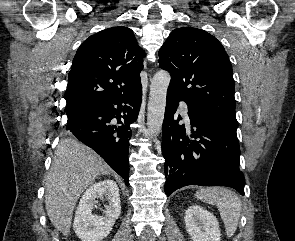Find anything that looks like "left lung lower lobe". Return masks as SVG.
I'll list each match as a JSON object with an SVG mask.
<instances>
[{
    "mask_svg": "<svg viewBox=\"0 0 295 241\" xmlns=\"http://www.w3.org/2000/svg\"><path fill=\"white\" fill-rule=\"evenodd\" d=\"M179 99L167 92L162 126V153L165 158L166 182L169 196L187 185L228 186L244 195L245 179L239 169L240 148L236 129L210 117L188 111L191 138L185 126L179 125L175 112Z\"/></svg>",
    "mask_w": 295,
    "mask_h": 241,
    "instance_id": "1",
    "label": "left lung lower lobe"
}]
</instances>
